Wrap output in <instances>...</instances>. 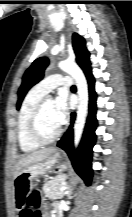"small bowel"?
<instances>
[{
  "label": "small bowel",
  "mask_w": 132,
  "mask_h": 217,
  "mask_svg": "<svg viewBox=\"0 0 132 217\" xmlns=\"http://www.w3.org/2000/svg\"><path fill=\"white\" fill-rule=\"evenodd\" d=\"M27 193L18 192L16 196V208L19 211V217H32L31 210L26 205ZM47 208V206H46ZM42 217H49L48 215H43Z\"/></svg>",
  "instance_id": "1"
}]
</instances>
